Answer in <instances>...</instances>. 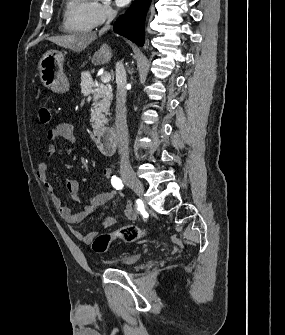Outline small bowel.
<instances>
[{"label": "small bowel", "instance_id": "small-bowel-1", "mask_svg": "<svg viewBox=\"0 0 285 335\" xmlns=\"http://www.w3.org/2000/svg\"><path fill=\"white\" fill-rule=\"evenodd\" d=\"M46 139L49 141V144L45 149V154L47 158H52L56 153L57 149L55 144L53 143L55 140L64 139L72 144L76 142L73 126L68 122H61L54 128L50 129L47 132ZM72 152L73 149H70L69 153ZM48 174V163H41L37 169V177L48 192L53 205L58 211L59 216L71 226L81 223L87 216L95 213L99 206L113 200L117 195V192L115 190L103 192L93 197L90 203L84 206L83 210L79 212H73L68 206L64 205V203L62 202V199L50 182ZM103 174L108 180L112 179L113 177L109 168H105L103 170ZM66 189L73 196L79 197L81 195V191L79 190L77 184L74 181H68L66 183ZM123 210L124 216L127 220H134L136 218L137 214L131 202H125L123 204ZM115 222L116 220L113 217H105L101 222V227H111L115 224ZM71 230L74 236L84 244H90L94 236L96 235V233L82 234L79 231L75 230L73 227L71 228Z\"/></svg>", "mask_w": 285, "mask_h": 335}]
</instances>
